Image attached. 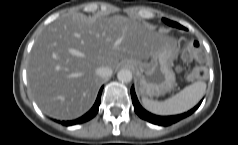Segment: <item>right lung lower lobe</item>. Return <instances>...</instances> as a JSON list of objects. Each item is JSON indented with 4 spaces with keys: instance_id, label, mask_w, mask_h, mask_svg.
<instances>
[{
    "instance_id": "right-lung-lower-lobe-1",
    "label": "right lung lower lobe",
    "mask_w": 238,
    "mask_h": 145,
    "mask_svg": "<svg viewBox=\"0 0 238 145\" xmlns=\"http://www.w3.org/2000/svg\"><path fill=\"white\" fill-rule=\"evenodd\" d=\"M102 88L100 89L96 102L93 105V107L91 108V110L89 112H87L85 115H83L82 117L76 119V120H72V121H62L61 123L65 126H70V125H75V124H81L84 123L86 121H89L90 119H92L98 112L99 109V105H100V101H101V93H102Z\"/></svg>"
}]
</instances>
